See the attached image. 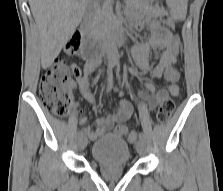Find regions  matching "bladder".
I'll return each instance as SVG.
<instances>
[{"label":"bladder","instance_id":"bladder-1","mask_svg":"<svg viewBox=\"0 0 223 191\" xmlns=\"http://www.w3.org/2000/svg\"><path fill=\"white\" fill-rule=\"evenodd\" d=\"M91 158L102 166L127 165L131 161V149L123 138L109 134L92 144Z\"/></svg>","mask_w":223,"mask_h":191}]
</instances>
